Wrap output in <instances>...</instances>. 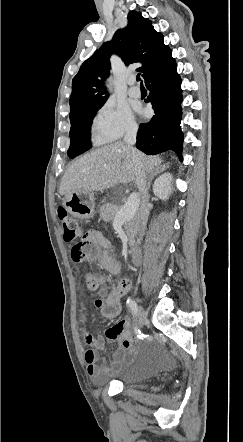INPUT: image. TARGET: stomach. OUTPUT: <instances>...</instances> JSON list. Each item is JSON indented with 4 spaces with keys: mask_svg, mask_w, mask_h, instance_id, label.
Returning <instances> with one entry per match:
<instances>
[{
    "mask_svg": "<svg viewBox=\"0 0 243 442\" xmlns=\"http://www.w3.org/2000/svg\"><path fill=\"white\" fill-rule=\"evenodd\" d=\"M67 212L79 219H88L94 214V195L91 191H72L63 199Z\"/></svg>",
    "mask_w": 243,
    "mask_h": 442,
    "instance_id": "1",
    "label": "stomach"
}]
</instances>
